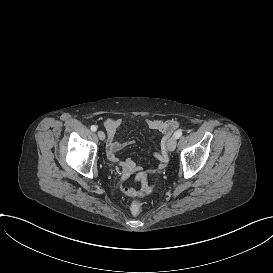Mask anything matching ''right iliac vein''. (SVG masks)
<instances>
[{"mask_svg":"<svg viewBox=\"0 0 273 273\" xmlns=\"http://www.w3.org/2000/svg\"><path fill=\"white\" fill-rule=\"evenodd\" d=\"M98 137L100 138V140H104L105 139V133L103 131H98Z\"/></svg>","mask_w":273,"mask_h":273,"instance_id":"1","label":"right iliac vein"}]
</instances>
